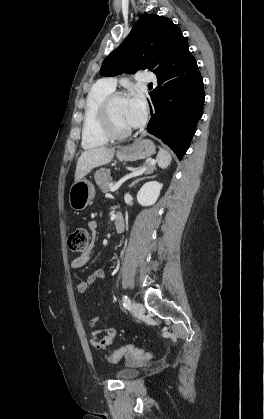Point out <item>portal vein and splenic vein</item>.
Wrapping results in <instances>:
<instances>
[{
    "label": "portal vein and splenic vein",
    "instance_id": "obj_1",
    "mask_svg": "<svg viewBox=\"0 0 264 419\" xmlns=\"http://www.w3.org/2000/svg\"><path fill=\"white\" fill-rule=\"evenodd\" d=\"M146 170V168H141L139 170L133 169L132 172L128 175H126L124 178H122L118 183L111 186L110 191L114 192L120 188V186L129 178L135 177L141 173H143Z\"/></svg>",
    "mask_w": 264,
    "mask_h": 419
}]
</instances>
